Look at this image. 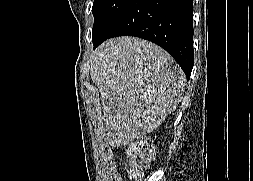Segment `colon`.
<instances>
[{"instance_id": "1", "label": "colon", "mask_w": 253, "mask_h": 181, "mask_svg": "<svg viewBox=\"0 0 253 181\" xmlns=\"http://www.w3.org/2000/svg\"><path fill=\"white\" fill-rule=\"evenodd\" d=\"M131 155L136 167L133 176L140 178L141 170L147 166L154 155V148L150 143L142 141L133 145Z\"/></svg>"}]
</instances>
